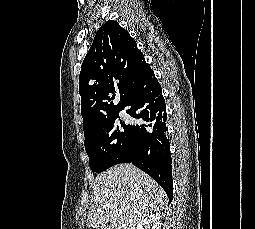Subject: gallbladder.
Returning a JSON list of instances; mask_svg holds the SVG:
<instances>
[{"instance_id":"1","label":"gallbladder","mask_w":255,"mask_h":229,"mask_svg":"<svg viewBox=\"0 0 255 229\" xmlns=\"http://www.w3.org/2000/svg\"><path fill=\"white\" fill-rule=\"evenodd\" d=\"M101 229H108L107 227H103V228H101Z\"/></svg>"}]
</instances>
